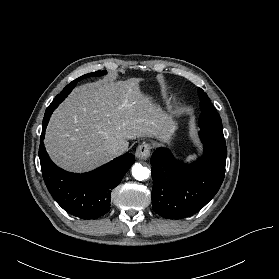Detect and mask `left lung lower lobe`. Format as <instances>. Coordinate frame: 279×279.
I'll return each instance as SVG.
<instances>
[{
    "label": "left lung lower lobe",
    "mask_w": 279,
    "mask_h": 279,
    "mask_svg": "<svg viewBox=\"0 0 279 279\" xmlns=\"http://www.w3.org/2000/svg\"><path fill=\"white\" fill-rule=\"evenodd\" d=\"M204 155L190 165L176 161L170 151L158 148L152 155L153 210L168 219L197 213L219 190L225 174V141L202 130Z\"/></svg>",
    "instance_id": "0a47b994"
}]
</instances>
